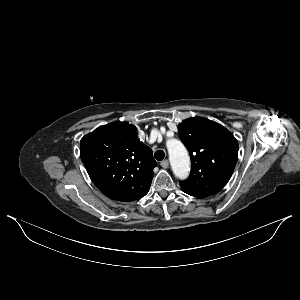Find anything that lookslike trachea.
<instances>
[{"mask_svg": "<svg viewBox=\"0 0 300 300\" xmlns=\"http://www.w3.org/2000/svg\"><path fill=\"white\" fill-rule=\"evenodd\" d=\"M154 157L156 160L158 161H161L164 159L165 157V153L163 150H157L155 153H154Z\"/></svg>", "mask_w": 300, "mask_h": 300, "instance_id": "1", "label": "trachea"}]
</instances>
